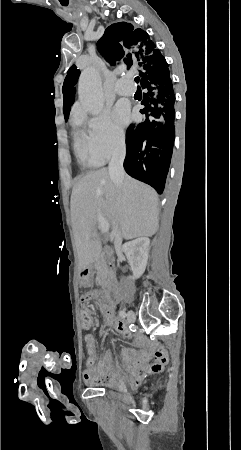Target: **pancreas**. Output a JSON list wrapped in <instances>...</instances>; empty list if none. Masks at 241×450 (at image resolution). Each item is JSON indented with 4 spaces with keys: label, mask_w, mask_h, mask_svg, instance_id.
I'll return each mask as SVG.
<instances>
[{
    "label": "pancreas",
    "mask_w": 241,
    "mask_h": 450,
    "mask_svg": "<svg viewBox=\"0 0 241 450\" xmlns=\"http://www.w3.org/2000/svg\"><path fill=\"white\" fill-rule=\"evenodd\" d=\"M98 274H99V280H97V282H98V284H103V282H105V280H107L108 270H103V272H100V270H98ZM101 274H103V276H101Z\"/></svg>",
    "instance_id": "1"
}]
</instances>
